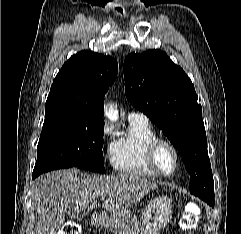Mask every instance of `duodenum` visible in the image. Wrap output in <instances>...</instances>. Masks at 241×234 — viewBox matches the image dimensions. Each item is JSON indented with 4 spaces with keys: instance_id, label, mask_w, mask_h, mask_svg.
Listing matches in <instances>:
<instances>
[{
    "instance_id": "1",
    "label": "duodenum",
    "mask_w": 241,
    "mask_h": 234,
    "mask_svg": "<svg viewBox=\"0 0 241 234\" xmlns=\"http://www.w3.org/2000/svg\"><path fill=\"white\" fill-rule=\"evenodd\" d=\"M92 220L94 224L99 225L101 221V215L99 213L94 214Z\"/></svg>"
}]
</instances>
